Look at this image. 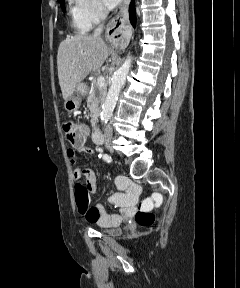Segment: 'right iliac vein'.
<instances>
[{"label": "right iliac vein", "instance_id": "63e3f726", "mask_svg": "<svg viewBox=\"0 0 240 288\" xmlns=\"http://www.w3.org/2000/svg\"><path fill=\"white\" fill-rule=\"evenodd\" d=\"M106 147L111 153L114 152V149H113V147L111 145H107Z\"/></svg>", "mask_w": 240, "mask_h": 288}]
</instances>
